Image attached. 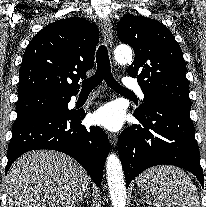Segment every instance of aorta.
I'll return each mask as SVG.
<instances>
[{"mask_svg":"<svg viewBox=\"0 0 206 207\" xmlns=\"http://www.w3.org/2000/svg\"><path fill=\"white\" fill-rule=\"evenodd\" d=\"M114 57L121 64L132 60V50L128 46H118L114 50ZM107 181L109 185L110 199L113 207H125L126 187L121 162L111 153L106 162Z\"/></svg>","mask_w":206,"mask_h":207,"instance_id":"1","label":"aorta"}]
</instances>
